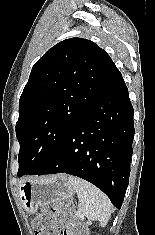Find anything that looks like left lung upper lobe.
Instances as JSON below:
<instances>
[{
	"mask_svg": "<svg viewBox=\"0 0 155 235\" xmlns=\"http://www.w3.org/2000/svg\"><path fill=\"white\" fill-rule=\"evenodd\" d=\"M117 70L90 40L66 39L33 66L19 100L17 175L40 171Z\"/></svg>",
	"mask_w": 155,
	"mask_h": 235,
	"instance_id": "obj_1",
	"label": "left lung upper lobe"
}]
</instances>
